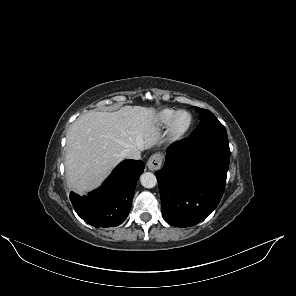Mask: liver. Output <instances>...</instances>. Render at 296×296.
Instances as JSON below:
<instances>
[{
	"label": "liver",
	"instance_id": "1",
	"mask_svg": "<svg viewBox=\"0 0 296 296\" xmlns=\"http://www.w3.org/2000/svg\"><path fill=\"white\" fill-rule=\"evenodd\" d=\"M156 111L125 106L116 112L90 111L67 134L65 170L69 186L80 194L96 187L122 161L123 150L151 148L159 138Z\"/></svg>",
	"mask_w": 296,
	"mask_h": 296
}]
</instances>
